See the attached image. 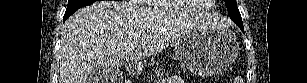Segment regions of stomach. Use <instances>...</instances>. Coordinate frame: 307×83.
Masks as SVG:
<instances>
[{
    "mask_svg": "<svg viewBox=\"0 0 307 83\" xmlns=\"http://www.w3.org/2000/svg\"><path fill=\"white\" fill-rule=\"evenodd\" d=\"M239 44L229 29L197 30L176 41L181 64L197 76H212L228 67L236 58Z\"/></svg>",
    "mask_w": 307,
    "mask_h": 83,
    "instance_id": "obj_1",
    "label": "stomach"
}]
</instances>
